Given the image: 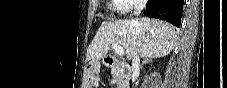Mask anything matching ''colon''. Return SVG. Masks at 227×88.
<instances>
[{"label":"colon","mask_w":227,"mask_h":88,"mask_svg":"<svg viewBox=\"0 0 227 88\" xmlns=\"http://www.w3.org/2000/svg\"><path fill=\"white\" fill-rule=\"evenodd\" d=\"M99 71H100V68H97V69L95 70V74H98Z\"/></svg>","instance_id":"colon-1"}]
</instances>
